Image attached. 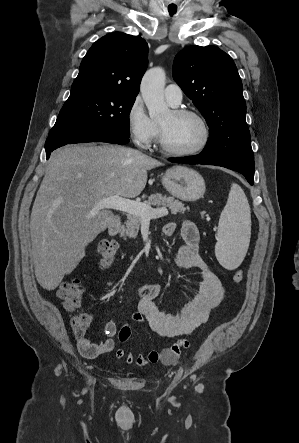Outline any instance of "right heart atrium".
Returning a JSON list of instances; mask_svg holds the SVG:
<instances>
[{
	"mask_svg": "<svg viewBox=\"0 0 299 443\" xmlns=\"http://www.w3.org/2000/svg\"><path fill=\"white\" fill-rule=\"evenodd\" d=\"M126 123L134 144L139 148H149L159 134L158 125L148 115L139 96L132 100L127 109Z\"/></svg>",
	"mask_w": 299,
	"mask_h": 443,
	"instance_id": "d8ad5b80",
	"label": "right heart atrium"
}]
</instances>
